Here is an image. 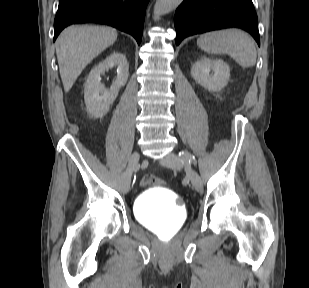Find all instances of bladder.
Returning a JSON list of instances; mask_svg holds the SVG:
<instances>
[{
    "mask_svg": "<svg viewBox=\"0 0 309 288\" xmlns=\"http://www.w3.org/2000/svg\"><path fill=\"white\" fill-rule=\"evenodd\" d=\"M134 213L141 225L160 234L177 232L187 217L179 198L160 186L138 195L134 201Z\"/></svg>",
    "mask_w": 309,
    "mask_h": 288,
    "instance_id": "1",
    "label": "bladder"
}]
</instances>
